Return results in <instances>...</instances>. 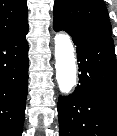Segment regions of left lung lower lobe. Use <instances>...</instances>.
Instances as JSON below:
<instances>
[{"label": "left lung lower lobe", "instance_id": "0a47b994", "mask_svg": "<svg viewBox=\"0 0 117 136\" xmlns=\"http://www.w3.org/2000/svg\"><path fill=\"white\" fill-rule=\"evenodd\" d=\"M77 47L79 85L59 97V136H117V64L111 36L75 28L58 19Z\"/></svg>", "mask_w": 117, "mask_h": 136}]
</instances>
